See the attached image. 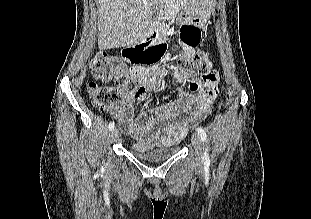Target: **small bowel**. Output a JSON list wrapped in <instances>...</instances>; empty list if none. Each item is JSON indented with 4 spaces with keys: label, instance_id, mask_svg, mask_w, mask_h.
<instances>
[{
    "label": "small bowel",
    "instance_id": "obj_1",
    "mask_svg": "<svg viewBox=\"0 0 311 219\" xmlns=\"http://www.w3.org/2000/svg\"><path fill=\"white\" fill-rule=\"evenodd\" d=\"M193 28L199 39L198 29ZM196 45L181 41L183 58H192ZM132 76L149 91H156L169 79L178 86L175 100L147 108L138 114L131 96L125 92L118 105L107 108L111 116L121 123L124 133L142 143L166 146L180 141L188 128L210 111L218 95L219 74L216 70L203 77V88L199 93L181 91L179 87L187 73H169L160 64L136 66L132 69Z\"/></svg>",
    "mask_w": 311,
    "mask_h": 219
}]
</instances>
